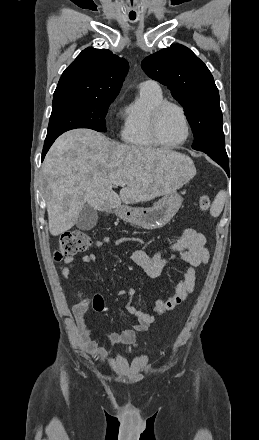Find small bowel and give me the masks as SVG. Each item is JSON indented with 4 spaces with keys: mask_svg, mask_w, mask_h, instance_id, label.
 Here are the masks:
<instances>
[{
    "mask_svg": "<svg viewBox=\"0 0 259 440\" xmlns=\"http://www.w3.org/2000/svg\"><path fill=\"white\" fill-rule=\"evenodd\" d=\"M126 241H136V239L121 237L116 239L114 244L121 245ZM108 243H110V239L104 237L101 240L95 241L94 246L96 248H102ZM131 259L150 278L159 277L170 262L180 261L186 264L183 277L176 282L174 295L167 300L158 299L152 307L151 311L160 316L181 305L194 291L197 282L195 268L208 262L209 253L206 248L205 237L193 228L186 227L182 231L181 237L172 245L154 253L147 252L143 249H137L131 254ZM95 260L96 256L94 254H87L82 257L81 262L91 263ZM75 266L76 264L72 257L66 258L60 266L61 275L67 277L73 271ZM134 294V288L118 291V295L128 296L129 300L126 305V310L136 318V324L132 328L120 332L104 333L101 335L104 340L112 344L136 345L139 334L146 331L149 326L156 321L154 315L138 309L133 304L132 297ZM92 306L96 312L107 311V307L100 295L94 296ZM74 312L84 350L96 359H105L108 356L109 351L99 347L93 338L94 333L88 327L86 321L87 306L76 305L74 307Z\"/></svg>",
    "mask_w": 259,
    "mask_h": 440,
    "instance_id": "c3829d8e",
    "label": "small bowel"
}]
</instances>
